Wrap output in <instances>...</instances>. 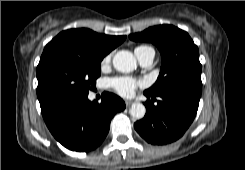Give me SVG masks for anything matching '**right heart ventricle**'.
I'll return each mask as SVG.
<instances>
[{"instance_id": "obj_1", "label": "right heart ventricle", "mask_w": 245, "mask_h": 170, "mask_svg": "<svg viewBox=\"0 0 245 170\" xmlns=\"http://www.w3.org/2000/svg\"><path fill=\"white\" fill-rule=\"evenodd\" d=\"M149 51H154L150 46L148 45H139L135 48V54L137 58L139 59L141 56L145 55Z\"/></svg>"}]
</instances>
